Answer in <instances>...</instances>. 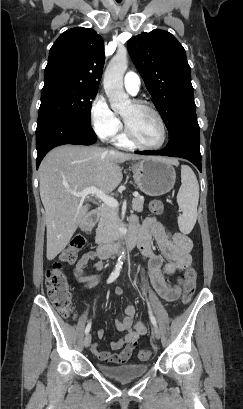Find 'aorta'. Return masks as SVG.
Returning a JSON list of instances; mask_svg holds the SVG:
<instances>
[{"instance_id":"1","label":"aorta","mask_w":243,"mask_h":409,"mask_svg":"<svg viewBox=\"0 0 243 409\" xmlns=\"http://www.w3.org/2000/svg\"><path fill=\"white\" fill-rule=\"evenodd\" d=\"M128 66L127 52L118 51L111 59L104 74V89L113 110H120L130 103L123 88V76ZM121 257H125L124 251Z\"/></svg>"}]
</instances>
